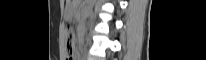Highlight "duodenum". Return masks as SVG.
I'll return each instance as SVG.
<instances>
[{"label": "duodenum", "mask_w": 206, "mask_h": 60, "mask_svg": "<svg viewBox=\"0 0 206 60\" xmlns=\"http://www.w3.org/2000/svg\"><path fill=\"white\" fill-rule=\"evenodd\" d=\"M78 33H79V34H85V33H86V30H85V29H79V30H78Z\"/></svg>", "instance_id": "obj_1"}]
</instances>
